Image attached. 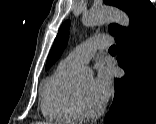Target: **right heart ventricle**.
Instances as JSON below:
<instances>
[{"mask_svg":"<svg viewBox=\"0 0 156 124\" xmlns=\"http://www.w3.org/2000/svg\"><path fill=\"white\" fill-rule=\"evenodd\" d=\"M77 68L62 61L46 81L42 89L41 111L47 120L59 124H73L81 119L73 92V75Z\"/></svg>","mask_w":156,"mask_h":124,"instance_id":"obj_1","label":"right heart ventricle"}]
</instances>
